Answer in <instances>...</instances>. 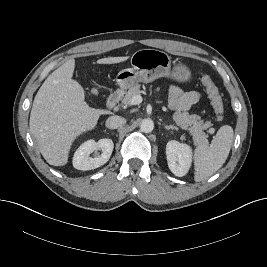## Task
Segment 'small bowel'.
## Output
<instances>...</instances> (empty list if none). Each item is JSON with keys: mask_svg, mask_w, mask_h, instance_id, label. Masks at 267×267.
<instances>
[{"mask_svg": "<svg viewBox=\"0 0 267 267\" xmlns=\"http://www.w3.org/2000/svg\"><path fill=\"white\" fill-rule=\"evenodd\" d=\"M202 97L199 91H184L179 86L173 85L169 90V105L173 110L187 111Z\"/></svg>", "mask_w": 267, "mask_h": 267, "instance_id": "obj_1", "label": "small bowel"}]
</instances>
